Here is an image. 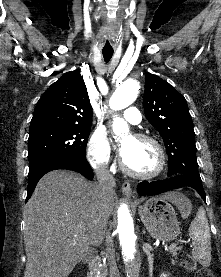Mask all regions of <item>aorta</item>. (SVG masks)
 I'll return each instance as SVG.
<instances>
[{"label":"aorta","instance_id":"1","mask_svg":"<svg viewBox=\"0 0 221 277\" xmlns=\"http://www.w3.org/2000/svg\"><path fill=\"white\" fill-rule=\"evenodd\" d=\"M140 84L136 79L128 78L123 81L112 94L109 105L114 110H121L131 105L138 94ZM112 129L116 137H124L129 127L124 119L114 117ZM118 246L128 269V277L135 276L140 265V250L134 222L127 204L120 205L117 220L113 229Z\"/></svg>","mask_w":221,"mask_h":277}]
</instances>
